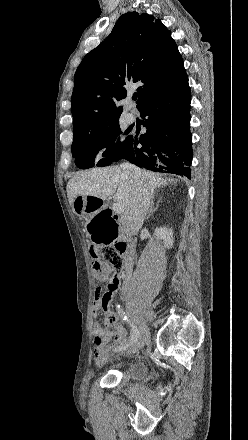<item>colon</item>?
<instances>
[{
	"mask_svg": "<svg viewBox=\"0 0 248 440\" xmlns=\"http://www.w3.org/2000/svg\"><path fill=\"white\" fill-rule=\"evenodd\" d=\"M94 259L93 267L96 278L100 281L111 280L116 267H122V258L119 251L114 246H100L92 251ZM112 287V285H108ZM96 299L100 300L103 305H107L111 300L109 291L102 292L96 290Z\"/></svg>",
	"mask_w": 248,
	"mask_h": 440,
	"instance_id": "5ec220e1",
	"label": "colon"
}]
</instances>
